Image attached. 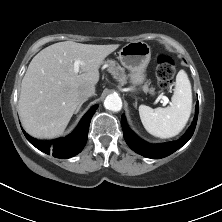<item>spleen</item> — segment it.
I'll return each instance as SVG.
<instances>
[{
  "label": "spleen",
  "mask_w": 222,
  "mask_h": 222,
  "mask_svg": "<svg viewBox=\"0 0 222 222\" xmlns=\"http://www.w3.org/2000/svg\"><path fill=\"white\" fill-rule=\"evenodd\" d=\"M192 109V90L187 74L180 70L176 76L174 94L170 106L153 109L139 106V115L144 128L153 136L171 138L186 126Z\"/></svg>",
  "instance_id": "3e777b00"
}]
</instances>
